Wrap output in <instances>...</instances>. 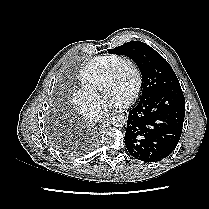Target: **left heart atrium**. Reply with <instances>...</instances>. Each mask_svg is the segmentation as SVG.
<instances>
[{"mask_svg":"<svg viewBox=\"0 0 209 209\" xmlns=\"http://www.w3.org/2000/svg\"><path fill=\"white\" fill-rule=\"evenodd\" d=\"M127 98L122 97L120 95H113L106 102V109H118L122 108L126 105Z\"/></svg>","mask_w":209,"mask_h":209,"instance_id":"39dd6f15","label":"left heart atrium"}]
</instances>
